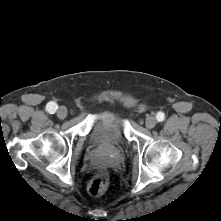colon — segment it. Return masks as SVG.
I'll list each match as a JSON object with an SVG mask.
<instances>
[{"label":"colon","mask_w":221,"mask_h":221,"mask_svg":"<svg viewBox=\"0 0 221 221\" xmlns=\"http://www.w3.org/2000/svg\"><path fill=\"white\" fill-rule=\"evenodd\" d=\"M109 187V174L107 172L98 173L89 183L88 191L92 196L103 195Z\"/></svg>","instance_id":"colon-1"}]
</instances>
